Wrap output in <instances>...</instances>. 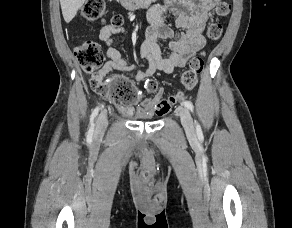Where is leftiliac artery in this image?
<instances>
[{"label": "left iliac artery", "mask_w": 292, "mask_h": 228, "mask_svg": "<svg viewBox=\"0 0 292 228\" xmlns=\"http://www.w3.org/2000/svg\"><path fill=\"white\" fill-rule=\"evenodd\" d=\"M183 105H184L187 109H189L191 112H193L194 107H193V105H192V103H191L190 101H184V102H183ZM195 123H196L197 135H198L199 137H201V136L203 135V134H202V129H201V127H200V125L198 124L197 121H195Z\"/></svg>", "instance_id": "left-iliac-artery-1"}]
</instances>
